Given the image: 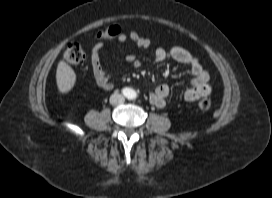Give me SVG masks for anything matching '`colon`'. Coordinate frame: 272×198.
Instances as JSON below:
<instances>
[{
  "mask_svg": "<svg viewBox=\"0 0 272 198\" xmlns=\"http://www.w3.org/2000/svg\"><path fill=\"white\" fill-rule=\"evenodd\" d=\"M121 28L116 25H111L99 31L96 34L99 40H111L119 36ZM65 61L72 66L82 65L85 61V52L78 43H69L64 51ZM211 106L209 97H203L198 102V107L202 111H207Z\"/></svg>",
  "mask_w": 272,
  "mask_h": 198,
  "instance_id": "5ec220e1",
  "label": "colon"
}]
</instances>
